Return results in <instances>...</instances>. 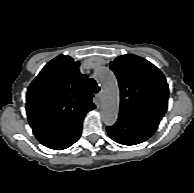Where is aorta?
<instances>
[{
	"label": "aorta",
	"mask_w": 194,
	"mask_h": 193,
	"mask_svg": "<svg viewBox=\"0 0 194 193\" xmlns=\"http://www.w3.org/2000/svg\"><path fill=\"white\" fill-rule=\"evenodd\" d=\"M95 77L104 89V98L101 105V117L106 125L116 122L119 111V89L115 75L105 67L95 70Z\"/></svg>",
	"instance_id": "aorta-1"
}]
</instances>
